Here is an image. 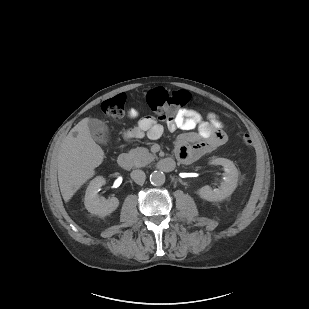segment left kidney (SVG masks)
I'll return each instance as SVG.
<instances>
[{"instance_id":"5707ae66","label":"left kidney","mask_w":309,"mask_h":309,"mask_svg":"<svg viewBox=\"0 0 309 309\" xmlns=\"http://www.w3.org/2000/svg\"><path fill=\"white\" fill-rule=\"evenodd\" d=\"M211 164L224 167L223 181L218 189H212L210 186H204L197 191V194L207 201H221L229 197L237 187L238 170L234 163L226 158H214Z\"/></svg>"}]
</instances>
